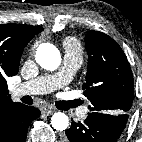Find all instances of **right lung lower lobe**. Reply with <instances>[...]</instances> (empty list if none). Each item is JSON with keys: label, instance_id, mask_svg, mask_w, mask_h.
<instances>
[{"label": "right lung lower lobe", "instance_id": "1", "mask_svg": "<svg viewBox=\"0 0 142 142\" xmlns=\"http://www.w3.org/2000/svg\"><path fill=\"white\" fill-rule=\"evenodd\" d=\"M40 116V110L23 104L0 114V142H25L30 123Z\"/></svg>", "mask_w": 142, "mask_h": 142}]
</instances>
